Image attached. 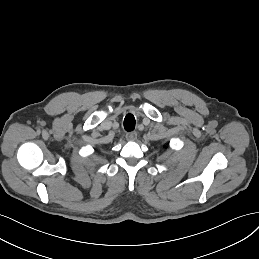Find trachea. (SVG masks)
Returning <instances> with one entry per match:
<instances>
[{
	"mask_svg": "<svg viewBox=\"0 0 259 259\" xmlns=\"http://www.w3.org/2000/svg\"><path fill=\"white\" fill-rule=\"evenodd\" d=\"M124 129L126 131H133L135 129V118L133 115L128 114L124 119Z\"/></svg>",
	"mask_w": 259,
	"mask_h": 259,
	"instance_id": "trachea-1",
	"label": "trachea"
}]
</instances>
